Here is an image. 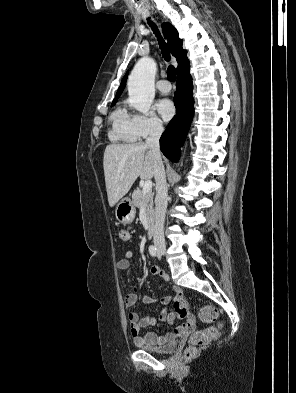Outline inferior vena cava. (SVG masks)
<instances>
[{"label": "inferior vena cava", "instance_id": "inferior-vena-cava-1", "mask_svg": "<svg viewBox=\"0 0 296 393\" xmlns=\"http://www.w3.org/2000/svg\"><path fill=\"white\" fill-rule=\"evenodd\" d=\"M163 133V126L159 122H154L151 126L149 136L146 139V146H148L155 156L154 178L156 181V197H155V226L153 241L154 245L158 247H165L164 239V221L167 208L168 188L166 182V174L164 165L161 159L159 139Z\"/></svg>", "mask_w": 296, "mask_h": 393}]
</instances>
